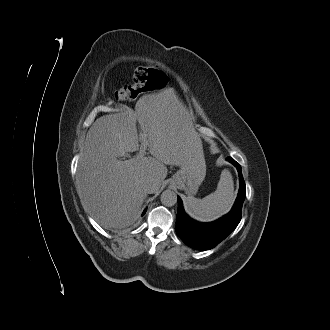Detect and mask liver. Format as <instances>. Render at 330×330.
<instances>
[{
    "label": "liver",
    "mask_w": 330,
    "mask_h": 330,
    "mask_svg": "<svg viewBox=\"0 0 330 330\" xmlns=\"http://www.w3.org/2000/svg\"><path fill=\"white\" fill-rule=\"evenodd\" d=\"M188 110L170 98L143 96L135 111L105 115L90 127L76 175L83 207L104 228L122 229L138 218L147 197L145 181L157 192L167 176L166 165L181 166L202 151L201 139ZM146 134L151 156L119 161L143 146L136 123ZM142 142V145L139 144Z\"/></svg>",
    "instance_id": "6515ba94"
}]
</instances>
